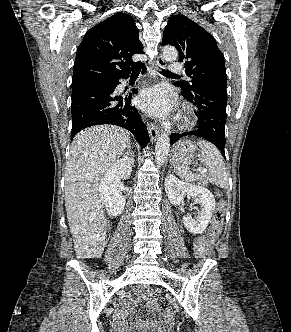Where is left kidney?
<instances>
[{
    "instance_id": "left-kidney-1",
    "label": "left kidney",
    "mask_w": 291,
    "mask_h": 332,
    "mask_svg": "<svg viewBox=\"0 0 291 332\" xmlns=\"http://www.w3.org/2000/svg\"><path fill=\"white\" fill-rule=\"evenodd\" d=\"M165 191L173 205H180L185 196L194 198L195 204L201 205L199 216L192 218L183 217V224L192 234H202L211 220L215 209V198L205 187L180 181L173 174L165 178Z\"/></svg>"
}]
</instances>
